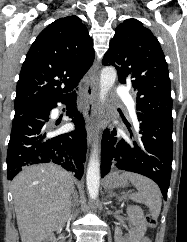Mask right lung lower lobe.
I'll return each instance as SVG.
<instances>
[{"label": "right lung lower lobe", "mask_w": 187, "mask_h": 242, "mask_svg": "<svg viewBox=\"0 0 187 242\" xmlns=\"http://www.w3.org/2000/svg\"><path fill=\"white\" fill-rule=\"evenodd\" d=\"M67 105V116L72 118L75 130L55 134L49 121L50 110L57 103ZM87 141L84 119L76 107V93L55 99L37 109L14 117L7 153V178L12 180L23 167L53 162L81 179L86 159Z\"/></svg>", "instance_id": "98d812e1"}]
</instances>
